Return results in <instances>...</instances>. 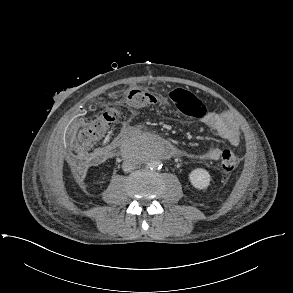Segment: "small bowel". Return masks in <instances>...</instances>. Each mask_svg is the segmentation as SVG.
Wrapping results in <instances>:
<instances>
[{"label":"small bowel","instance_id":"c3829d8e","mask_svg":"<svg viewBox=\"0 0 293 293\" xmlns=\"http://www.w3.org/2000/svg\"><path fill=\"white\" fill-rule=\"evenodd\" d=\"M153 98V96H152ZM194 115L212 132L224 139L230 146H237L240 142V132L235 121L226 116L213 112H207L205 105L198 99ZM188 156L197 157L205 161H216L221 157V149L217 145H211L199 154L188 153Z\"/></svg>","mask_w":293,"mask_h":293}]
</instances>
